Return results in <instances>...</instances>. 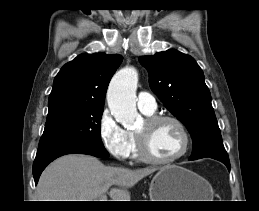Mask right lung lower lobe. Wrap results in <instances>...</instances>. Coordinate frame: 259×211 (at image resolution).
Returning <instances> with one entry per match:
<instances>
[{
  "label": "right lung lower lobe",
  "instance_id": "right-lung-lower-lobe-1",
  "mask_svg": "<svg viewBox=\"0 0 259 211\" xmlns=\"http://www.w3.org/2000/svg\"><path fill=\"white\" fill-rule=\"evenodd\" d=\"M70 153L88 154L100 158L109 157V154L104 147H93L77 143H59L39 148L33 163L35 184H37L42 171L50 162L62 155Z\"/></svg>",
  "mask_w": 259,
  "mask_h": 211
}]
</instances>
